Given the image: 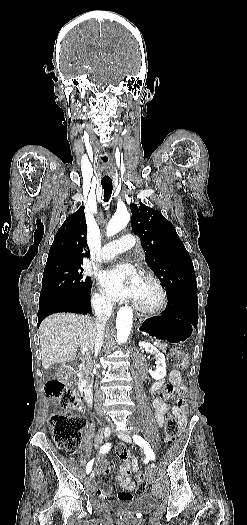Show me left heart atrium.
Listing matches in <instances>:
<instances>
[{"mask_svg":"<svg viewBox=\"0 0 247 525\" xmlns=\"http://www.w3.org/2000/svg\"><path fill=\"white\" fill-rule=\"evenodd\" d=\"M101 281L117 299L136 297L140 291V278L135 269L120 270L114 266L102 272Z\"/></svg>","mask_w":247,"mask_h":525,"instance_id":"1","label":"left heart atrium"}]
</instances>
